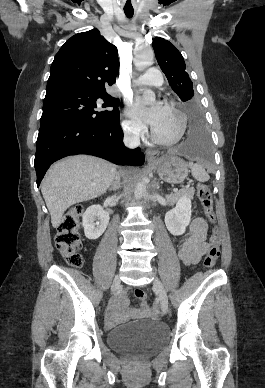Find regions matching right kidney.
Listing matches in <instances>:
<instances>
[{
  "label": "right kidney",
  "instance_id": "obj_1",
  "mask_svg": "<svg viewBox=\"0 0 265 388\" xmlns=\"http://www.w3.org/2000/svg\"><path fill=\"white\" fill-rule=\"evenodd\" d=\"M109 214L102 206H90L84 212L82 226L88 240H97L104 234L109 224Z\"/></svg>",
  "mask_w": 265,
  "mask_h": 388
}]
</instances>
